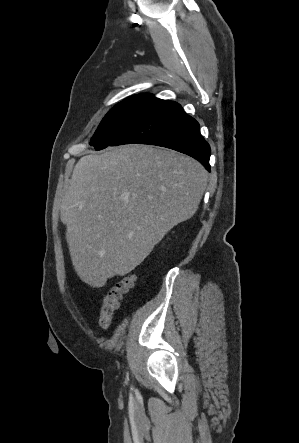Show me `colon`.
I'll use <instances>...</instances> for the list:
<instances>
[{"label": "colon", "instance_id": "obj_1", "mask_svg": "<svg viewBox=\"0 0 299 443\" xmlns=\"http://www.w3.org/2000/svg\"><path fill=\"white\" fill-rule=\"evenodd\" d=\"M134 283L135 276L129 274L104 294L99 309V321L102 327L108 328L110 326L115 311L119 309L124 297L133 288Z\"/></svg>", "mask_w": 299, "mask_h": 443}]
</instances>
